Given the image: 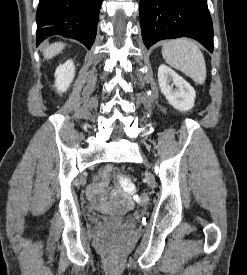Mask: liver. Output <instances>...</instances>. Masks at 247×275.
<instances>
[{"label": "liver", "instance_id": "6515ba94", "mask_svg": "<svg viewBox=\"0 0 247 275\" xmlns=\"http://www.w3.org/2000/svg\"><path fill=\"white\" fill-rule=\"evenodd\" d=\"M64 43H53L51 45H47L43 50V55L45 59H51L57 54H59L64 48Z\"/></svg>", "mask_w": 247, "mask_h": 275}]
</instances>
